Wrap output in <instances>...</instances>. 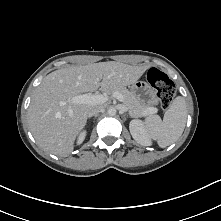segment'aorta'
Instances as JSON below:
<instances>
[{
    "label": "aorta",
    "instance_id": "1",
    "mask_svg": "<svg viewBox=\"0 0 221 221\" xmlns=\"http://www.w3.org/2000/svg\"><path fill=\"white\" fill-rule=\"evenodd\" d=\"M116 112H117V110H116V108H114V107H110V108L108 109V114H109V116H114V115H116Z\"/></svg>",
    "mask_w": 221,
    "mask_h": 221
}]
</instances>
